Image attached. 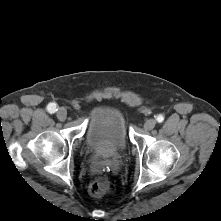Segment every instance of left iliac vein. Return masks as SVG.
<instances>
[{"mask_svg": "<svg viewBox=\"0 0 221 221\" xmlns=\"http://www.w3.org/2000/svg\"><path fill=\"white\" fill-rule=\"evenodd\" d=\"M155 124H156L155 119L150 118V119H147L145 121L143 127H144L145 130H151V129H153L155 127Z\"/></svg>", "mask_w": 221, "mask_h": 221, "instance_id": "1", "label": "left iliac vein"}]
</instances>
